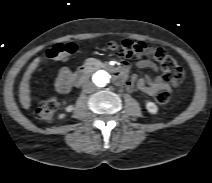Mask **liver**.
Here are the masks:
<instances>
[{
  "label": "liver",
  "mask_w": 212,
  "mask_h": 183,
  "mask_svg": "<svg viewBox=\"0 0 212 183\" xmlns=\"http://www.w3.org/2000/svg\"><path fill=\"white\" fill-rule=\"evenodd\" d=\"M40 60H41L40 57L33 60V62L29 65L27 71L25 72L23 79L20 83L19 98H20V103L24 109L30 108L31 98H30L29 80L31 79V74L37 68Z\"/></svg>",
  "instance_id": "liver-1"
}]
</instances>
